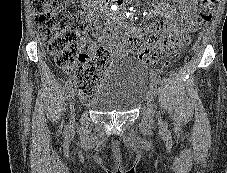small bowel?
Returning <instances> with one entry per match:
<instances>
[{"label": "small bowel", "instance_id": "obj_1", "mask_svg": "<svg viewBox=\"0 0 227 173\" xmlns=\"http://www.w3.org/2000/svg\"><path fill=\"white\" fill-rule=\"evenodd\" d=\"M172 1L179 7L162 2L151 12L152 15L164 17L167 20L165 24L158 27L133 26L124 20V16L115 15L113 20L116 24V33L113 41L108 44V50L111 54L116 57L128 56L133 53L130 48L131 39L156 34H160L167 41L164 52L170 54L180 44L183 36L197 25V0Z\"/></svg>", "mask_w": 227, "mask_h": 173}]
</instances>
